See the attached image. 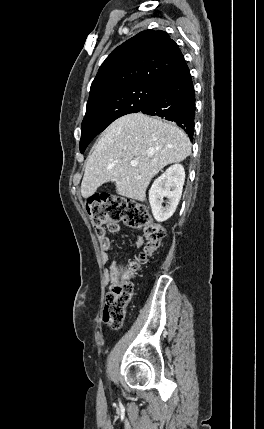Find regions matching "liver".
Wrapping results in <instances>:
<instances>
[{"label":"liver","instance_id":"6515ba94","mask_svg":"<svg viewBox=\"0 0 264 429\" xmlns=\"http://www.w3.org/2000/svg\"><path fill=\"white\" fill-rule=\"evenodd\" d=\"M190 154L188 136L174 123L142 113L124 115L107 127L88 156L81 194L88 198L102 184L115 182L119 195L143 202L151 179Z\"/></svg>","mask_w":264,"mask_h":429}]
</instances>
